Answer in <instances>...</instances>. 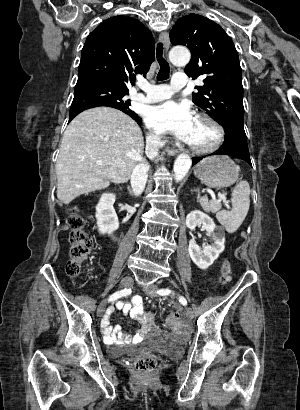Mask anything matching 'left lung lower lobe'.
Wrapping results in <instances>:
<instances>
[{"label":"left lung lower lobe","instance_id":"0a47b994","mask_svg":"<svg viewBox=\"0 0 300 410\" xmlns=\"http://www.w3.org/2000/svg\"><path fill=\"white\" fill-rule=\"evenodd\" d=\"M223 127L225 131L224 144L219 150L210 155H229L241 158L252 166L244 127L231 122L226 123ZM201 159L193 158V165Z\"/></svg>","mask_w":300,"mask_h":410}]
</instances>
